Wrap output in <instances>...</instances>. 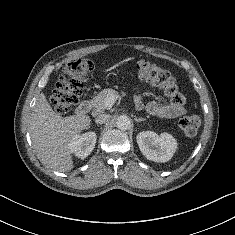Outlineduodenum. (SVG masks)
I'll list each match as a JSON object with an SVG mask.
<instances>
[{"mask_svg":"<svg viewBox=\"0 0 235 235\" xmlns=\"http://www.w3.org/2000/svg\"><path fill=\"white\" fill-rule=\"evenodd\" d=\"M91 110V102L89 100H83L76 108V112L79 115H85Z\"/></svg>","mask_w":235,"mask_h":235,"instance_id":"obj_1","label":"duodenum"}]
</instances>
